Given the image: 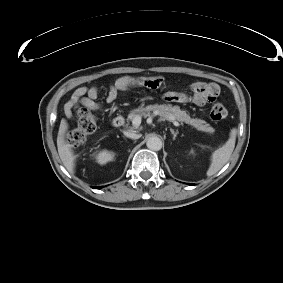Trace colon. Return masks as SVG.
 <instances>
[{
    "label": "colon",
    "instance_id": "colon-1",
    "mask_svg": "<svg viewBox=\"0 0 283 283\" xmlns=\"http://www.w3.org/2000/svg\"><path fill=\"white\" fill-rule=\"evenodd\" d=\"M227 116V110L222 104H214L210 109V118L214 121H221ZM97 127L95 115L89 108L83 107L78 111V120L74 128L67 135V140L70 143H80L86 136L92 134Z\"/></svg>",
    "mask_w": 283,
    "mask_h": 283
}]
</instances>
